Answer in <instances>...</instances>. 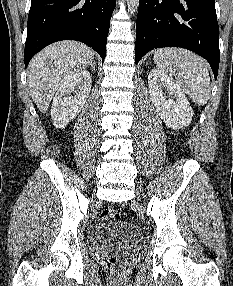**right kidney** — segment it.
I'll list each match as a JSON object with an SVG mask.
<instances>
[{"label": "right kidney", "mask_w": 233, "mask_h": 286, "mask_svg": "<svg viewBox=\"0 0 233 286\" xmlns=\"http://www.w3.org/2000/svg\"><path fill=\"white\" fill-rule=\"evenodd\" d=\"M91 82L90 73L82 70L58 88L51 107V118L57 128L65 127L80 112L90 94Z\"/></svg>", "instance_id": "obj_1"}]
</instances>
